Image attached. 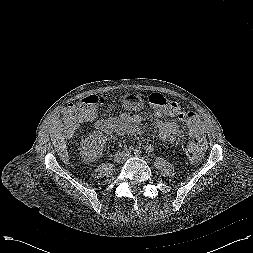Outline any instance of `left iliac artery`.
Returning a JSON list of instances; mask_svg holds the SVG:
<instances>
[{
	"label": "left iliac artery",
	"instance_id": "obj_1",
	"mask_svg": "<svg viewBox=\"0 0 253 253\" xmlns=\"http://www.w3.org/2000/svg\"><path fill=\"white\" fill-rule=\"evenodd\" d=\"M141 153H142V152H141L140 150H138V149H135V150H134V154H135V155H140Z\"/></svg>",
	"mask_w": 253,
	"mask_h": 253
}]
</instances>
